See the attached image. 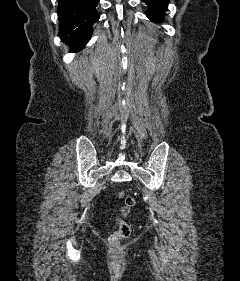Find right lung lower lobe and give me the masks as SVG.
I'll return each mask as SVG.
<instances>
[{"label":"right lung lower lobe","instance_id":"1","mask_svg":"<svg viewBox=\"0 0 240 281\" xmlns=\"http://www.w3.org/2000/svg\"><path fill=\"white\" fill-rule=\"evenodd\" d=\"M99 0H59L58 15L62 41L75 52L90 39L92 26L100 16L96 10Z\"/></svg>","mask_w":240,"mask_h":281}]
</instances>
